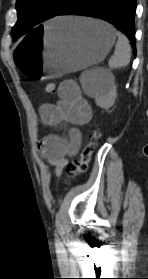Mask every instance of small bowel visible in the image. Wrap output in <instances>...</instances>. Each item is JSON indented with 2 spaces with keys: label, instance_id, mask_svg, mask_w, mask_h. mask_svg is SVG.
I'll return each mask as SVG.
<instances>
[{
  "label": "small bowel",
  "instance_id": "c3829d8e",
  "mask_svg": "<svg viewBox=\"0 0 148 279\" xmlns=\"http://www.w3.org/2000/svg\"><path fill=\"white\" fill-rule=\"evenodd\" d=\"M58 98L56 103L43 104L39 114L47 126H67V135L49 134L38 145L40 155L53 167L56 177L62 174L68 158L80 146L81 134L78 127L92 118V109L75 81H63L58 88Z\"/></svg>",
  "mask_w": 148,
  "mask_h": 279
}]
</instances>
